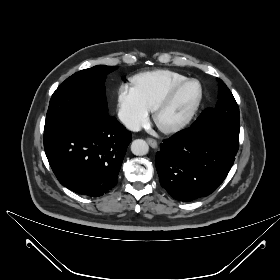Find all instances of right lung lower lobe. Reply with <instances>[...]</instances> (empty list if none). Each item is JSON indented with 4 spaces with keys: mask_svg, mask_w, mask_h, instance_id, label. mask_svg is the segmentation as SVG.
Segmentation results:
<instances>
[{
    "mask_svg": "<svg viewBox=\"0 0 280 280\" xmlns=\"http://www.w3.org/2000/svg\"><path fill=\"white\" fill-rule=\"evenodd\" d=\"M131 134L115 117L69 118L44 128V149L59 182L86 196L98 197L117 184Z\"/></svg>",
    "mask_w": 280,
    "mask_h": 280,
    "instance_id": "right-lung-lower-lobe-1",
    "label": "right lung lower lobe"
}]
</instances>
